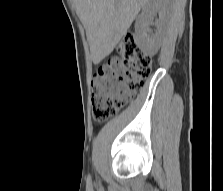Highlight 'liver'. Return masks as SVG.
Listing matches in <instances>:
<instances>
[{
	"mask_svg": "<svg viewBox=\"0 0 223 191\" xmlns=\"http://www.w3.org/2000/svg\"><path fill=\"white\" fill-rule=\"evenodd\" d=\"M149 0H74L90 44L92 60L100 63L126 34Z\"/></svg>",
	"mask_w": 223,
	"mask_h": 191,
	"instance_id": "6515ba94",
	"label": "liver"
}]
</instances>
